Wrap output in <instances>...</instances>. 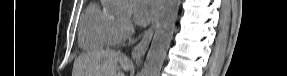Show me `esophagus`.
<instances>
[{
	"label": "esophagus",
	"mask_w": 287,
	"mask_h": 76,
	"mask_svg": "<svg viewBox=\"0 0 287 76\" xmlns=\"http://www.w3.org/2000/svg\"><path fill=\"white\" fill-rule=\"evenodd\" d=\"M158 17H159V13L153 20L151 26L143 34L141 41L132 50L133 59H141L147 52L150 41L152 39L154 30H155V27H156V24H157Z\"/></svg>",
	"instance_id": "34e87169"
}]
</instances>
